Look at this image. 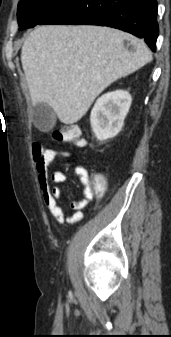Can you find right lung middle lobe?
I'll list each match as a JSON object with an SVG mask.
<instances>
[{"label": "right lung middle lobe", "mask_w": 171, "mask_h": 337, "mask_svg": "<svg viewBox=\"0 0 171 337\" xmlns=\"http://www.w3.org/2000/svg\"><path fill=\"white\" fill-rule=\"evenodd\" d=\"M67 0H21L18 4L19 30L32 28L53 14Z\"/></svg>", "instance_id": "right-lung-middle-lobe-1"}]
</instances>
